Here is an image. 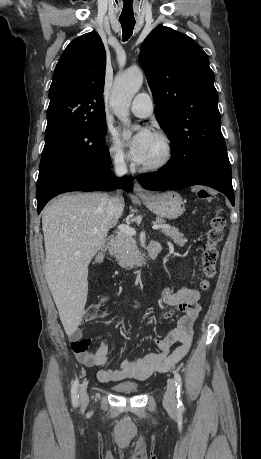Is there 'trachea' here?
<instances>
[{"instance_id":"obj_1","label":"trachea","mask_w":261,"mask_h":459,"mask_svg":"<svg viewBox=\"0 0 261 459\" xmlns=\"http://www.w3.org/2000/svg\"><path fill=\"white\" fill-rule=\"evenodd\" d=\"M120 23L122 25L123 41H126L132 35L133 28L135 25V20H120Z\"/></svg>"}]
</instances>
